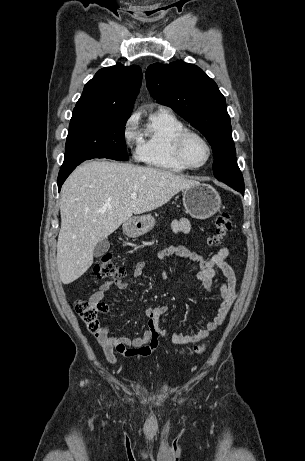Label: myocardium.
<instances>
[{
  "label": "myocardium",
  "instance_id": "1",
  "mask_svg": "<svg viewBox=\"0 0 305 461\" xmlns=\"http://www.w3.org/2000/svg\"><path fill=\"white\" fill-rule=\"evenodd\" d=\"M190 136L197 137L206 146L207 157H206L205 161L200 165H192L187 160V158L185 156L184 145H185L186 139L188 137H190ZM174 149H175V154H176L178 160L188 169H199V168L204 167L210 161L211 156H212V147H211L209 141L207 140V138L203 134H201L200 132H198L196 130H193V129H189V128L183 129L177 135V137L175 138V142H174Z\"/></svg>",
  "mask_w": 305,
  "mask_h": 461
}]
</instances>
